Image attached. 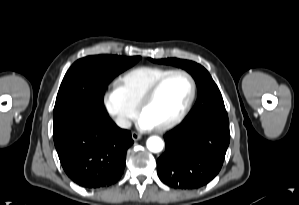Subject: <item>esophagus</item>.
Masks as SVG:
<instances>
[{"instance_id":"1","label":"esophagus","mask_w":299,"mask_h":205,"mask_svg":"<svg viewBox=\"0 0 299 205\" xmlns=\"http://www.w3.org/2000/svg\"><path fill=\"white\" fill-rule=\"evenodd\" d=\"M131 136H132V139H133L134 141H137V140H140V139H141V135L138 134V133H136V132H132Z\"/></svg>"}]
</instances>
